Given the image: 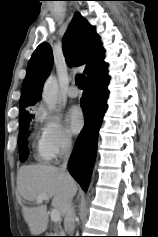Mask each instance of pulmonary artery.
<instances>
[{
	"instance_id": "1",
	"label": "pulmonary artery",
	"mask_w": 158,
	"mask_h": 237,
	"mask_svg": "<svg viewBox=\"0 0 158 237\" xmlns=\"http://www.w3.org/2000/svg\"><path fill=\"white\" fill-rule=\"evenodd\" d=\"M66 94L70 98H76L79 95V92L75 89V87H70L67 91Z\"/></svg>"
}]
</instances>
